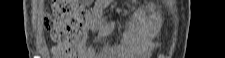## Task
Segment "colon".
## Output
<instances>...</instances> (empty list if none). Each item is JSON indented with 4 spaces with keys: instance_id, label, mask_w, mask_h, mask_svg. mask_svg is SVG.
<instances>
[{
    "instance_id": "obj_1",
    "label": "colon",
    "mask_w": 225,
    "mask_h": 58,
    "mask_svg": "<svg viewBox=\"0 0 225 58\" xmlns=\"http://www.w3.org/2000/svg\"><path fill=\"white\" fill-rule=\"evenodd\" d=\"M88 1L54 0L52 14L44 17L45 28L55 43L53 54L56 58H74V44L79 38L84 5Z\"/></svg>"
}]
</instances>
